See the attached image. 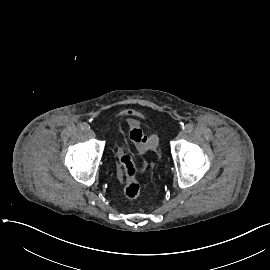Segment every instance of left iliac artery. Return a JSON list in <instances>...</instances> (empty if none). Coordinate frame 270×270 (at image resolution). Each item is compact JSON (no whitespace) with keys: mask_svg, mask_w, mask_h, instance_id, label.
<instances>
[{"mask_svg":"<svg viewBox=\"0 0 270 270\" xmlns=\"http://www.w3.org/2000/svg\"><path fill=\"white\" fill-rule=\"evenodd\" d=\"M183 130L186 132V133H190L192 130H193V125L191 123H188L186 124L184 127H183Z\"/></svg>","mask_w":270,"mask_h":270,"instance_id":"obj_1","label":"left iliac artery"}]
</instances>
